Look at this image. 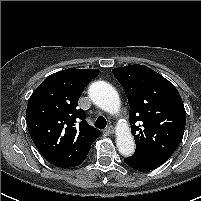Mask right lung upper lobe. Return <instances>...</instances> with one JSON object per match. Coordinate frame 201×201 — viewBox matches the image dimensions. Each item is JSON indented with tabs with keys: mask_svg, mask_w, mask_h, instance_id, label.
I'll list each match as a JSON object with an SVG mask.
<instances>
[{
	"mask_svg": "<svg viewBox=\"0 0 201 201\" xmlns=\"http://www.w3.org/2000/svg\"><path fill=\"white\" fill-rule=\"evenodd\" d=\"M98 75V69H65L48 76L30 96L28 130L41 155L53 165H80L100 136L77 107L84 87Z\"/></svg>",
	"mask_w": 201,
	"mask_h": 201,
	"instance_id": "1",
	"label": "right lung upper lobe"
}]
</instances>
